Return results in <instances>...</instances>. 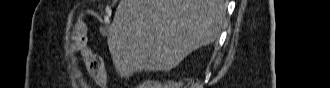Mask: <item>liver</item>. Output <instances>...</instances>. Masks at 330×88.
<instances>
[{"label":"liver","instance_id":"1","mask_svg":"<svg viewBox=\"0 0 330 88\" xmlns=\"http://www.w3.org/2000/svg\"><path fill=\"white\" fill-rule=\"evenodd\" d=\"M224 0H121L107 29L116 71H169L219 36Z\"/></svg>","mask_w":330,"mask_h":88}]
</instances>
